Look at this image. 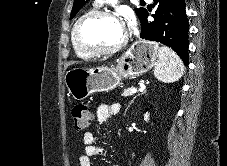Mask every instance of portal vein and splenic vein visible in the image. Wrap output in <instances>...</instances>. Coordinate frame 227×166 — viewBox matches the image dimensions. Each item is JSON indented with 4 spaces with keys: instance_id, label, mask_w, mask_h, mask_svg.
<instances>
[{
    "instance_id": "1",
    "label": "portal vein and splenic vein",
    "mask_w": 227,
    "mask_h": 166,
    "mask_svg": "<svg viewBox=\"0 0 227 166\" xmlns=\"http://www.w3.org/2000/svg\"><path fill=\"white\" fill-rule=\"evenodd\" d=\"M137 92V89L136 88H132L131 89V94H134V93H136Z\"/></svg>"
}]
</instances>
